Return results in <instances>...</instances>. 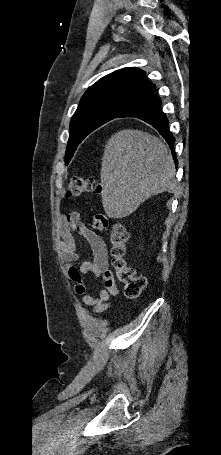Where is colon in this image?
I'll use <instances>...</instances> for the list:
<instances>
[{
    "label": "colon",
    "instance_id": "1",
    "mask_svg": "<svg viewBox=\"0 0 221 455\" xmlns=\"http://www.w3.org/2000/svg\"><path fill=\"white\" fill-rule=\"evenodd\" d=\"M101 185L93 178L72 177L68 182L67 197H76L83 193L100 192ZM92 228L97 232H104L110 228V255L115 280L124 287L125 294L130 298L140 296L146 287V278L137 275L127 260L128 232L117 222L110 223L104 213H95L90 220Z\"/></svg>",
    "mask_w": 221,
    "mask_h": 455
}]
</instances>
